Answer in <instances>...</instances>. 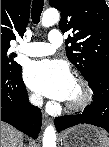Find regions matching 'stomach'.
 <instances>
[{"instance_id": "1", "label": "stomach", "mask_w": 109, "mask_h": 147, "mask_svg": "<svg viewBox=\"0 0 109 147\" xmlns=\"http://www.w3.org/2000/svg\"><path fill=\"white\" fill-rule=\"evenodd\" d=\"M104 133L95 126L80 124L65 130L62 141L65 147H105Z\"/></svg>"}]
</instances>
